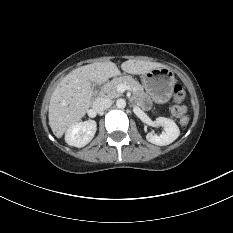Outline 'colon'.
Segmentation results:
<instances>
[{
    "mask_svg": "<svg viewBox=\"0 0 233 233\" xmlns=\"http://www.w3.org/2000/svg\"><path fill=\"white\" fill-rule=\"evenodd\" d=\"M185 91L182 88V86L180 85H175L174 89H173V99L175 101L176 104L179 105V107L182 108V103L185 100ZM182 125H187L189 123V118L187 116H183L180 120Z\"/></svg>",
    "mask_w": 233,
    "mask_h": 233,
    "instance_id": "colon-1",
    "label": "colon"
}]
</instances>
